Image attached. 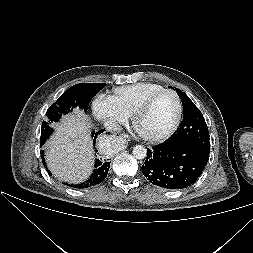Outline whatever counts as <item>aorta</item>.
I'll return each mask as SVG.
<instances>
[{
    "instance_id": "1",
    "label": "aorta",
    "mask_w": 253,
    "mask_h": 253,
    "mask_svg": "<svg viewBox=\"0 0 253 253\" xmlns=\"http://www.w3.org/2000/svg\"><path fill=\"white\" fill-rule=\"evenodd\" d=\"M133 156L136 158V159H144L146 156H147V150L144 146L142 145H136L134 148H133Z\"/></svg>"
}]
</instances>
